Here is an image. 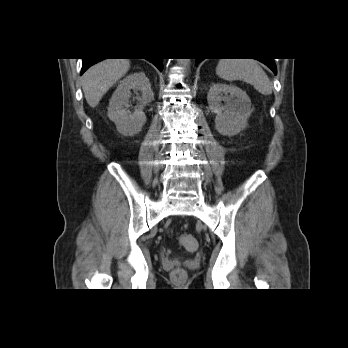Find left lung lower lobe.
<instances>
[{"label":"left lung lower lobe","mask_w":348,"mask_h":348,"mask_svg":"<svg viewBox=\"0 0 348 348\" xmlns=\"http://www.w3.org/2000/svg\"><path fill=\"white\" fill-rule=\"evenodd\" d=\"M195 60H196V63L198 64L202 59H195ZM259 61L266 64L275 74L277 73V68L273 59H265V60H259Z\"/></svg>","instance_id":"1"}]
</instances>
